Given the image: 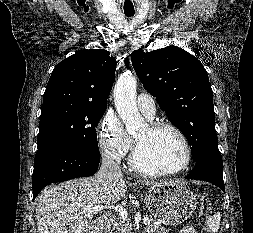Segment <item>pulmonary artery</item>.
Here are the masks:
<instances>
[{
  "mask_svg": "<svg viewBox=\"0 0 253 233\" xmlns=\"http://www.w3.org/2000/svg\"><path fill=\"white\" fill-rule=\"evenodd\" d=\"M137 106L140 112L149 119L156 113V105L153 97L147 93H141L137 97Z\"/></svg>",
  "mask_w": 253,
  "mask_h": 233,
  "instance_id": "pulmonary-artery-1",
  "label": "pulmonary artery"
}]
</instances>
